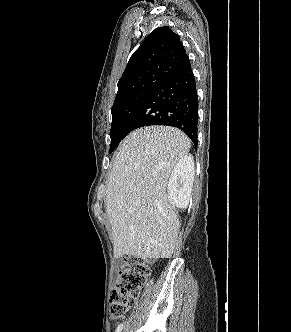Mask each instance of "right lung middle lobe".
<instances>
[{
  "instance_id": "obj_1",
  "label": "right lung middle lobe",
  "mask_w": 291,
  "mask_h": 332,
  "mask_svg": "<svg viewBox=\"0 0 291 332\" xmlns=\"http://www.w3.org/2000/svg\"><path fill=\"white\" fill-rule=\"evenodd\" d=\"M159 83H154L148 89L115 100L111 109L112 124L110 130L111 145L109 153H111L126 136V127L129 120Z\"/></svg>"
}]
</instances>
